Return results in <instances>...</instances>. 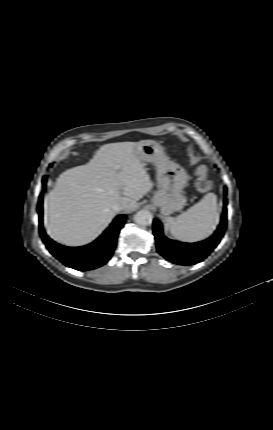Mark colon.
<instances>
[{"mask_svg":"<svg viewBox=\"0 0 273 430\" xmlns=\"http://www.w3.org/2000/svg\"><path fill=\"white\" fill-rule=\"evenodd\" d=\"M194 183L198 191L207 193L212 189V182L208 175V169L201 166L197 169L194 175Z\"/></svg>","mask_w":273,"mask_h":430,"instance_id":"1","label":"colon"}]
</instances>
